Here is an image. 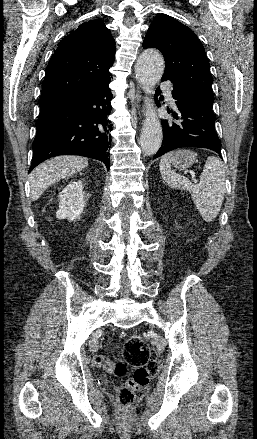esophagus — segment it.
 Returning a JSON list of instances; mask_svg holds the SVG:
<instances>
[{
  "instance_id": "34e87169",
  "label": "esophagus",
  "mask_w": 257,
  "mask_h": 439,
  "mask_svg": "<svg viewBox=\"0 0 257 439\" xmlns=\"http://www.w3.org/2000/svg\"><path fill=\"white\" fill-rule=\"evenodd\" d=\"M140 101H141V91L137 90V93H136L137 107H138V104H139Z\"/></svg>"
}]
</instances>
